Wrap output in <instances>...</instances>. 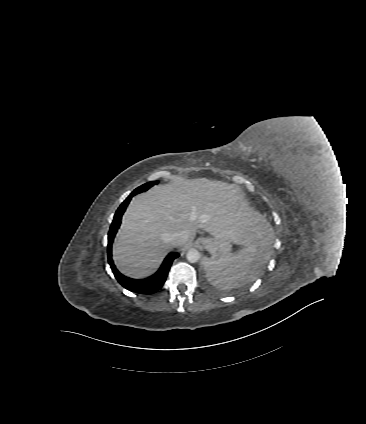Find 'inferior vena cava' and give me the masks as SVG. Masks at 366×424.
<instances>
[{"mask_svg":"<svg viewBox=\"0 0 366 424\" xmlns=\"http://www.w3.org/2000/svg\"><path fill=\"white\" fill-rule=\"evenodd\" d=\"M187 240H188V234L186 233V231H183V230L175 232L170 235V243L175 247L186 243Z\"/></svg>","mask_w":366,"mask_h":424,"instance_id":"inferior-vena-cava-1","label":"inferior vena cava"}]
</instances>
